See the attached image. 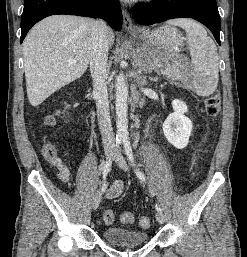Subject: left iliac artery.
Returning a JSON list of instances; mask_svg holds the SVG:
<instances>
[{
  "label": "left iliac artery",
  "instance_id": "44dca946",
  "mask_svg": "<svg viewBox=\"0 0 247 257\" xmlns=\"http://www.w3.org/2000/svg\"><path fill=\"white\" fill-rule=\"evenodd\" d=\"M123 144H124V150L125 153L127 155V158L129 160V164L132 166V168H134L135 174L136 176L143 182H145V176L144 174L136 167L135 161H134V156H133V152H132V148L130 145V141L128 138H124L123 139ZM156 210L158 212H162V209L156 205Z\"/></svg>",
  "mask_w": 247,
  "mask_h": 257
}]
</instances>
